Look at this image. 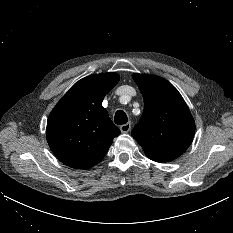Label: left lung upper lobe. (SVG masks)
<instances>
[{
  "label": "left lung upper lobe",
  "instance_id": "1",
  "mask_svg": "<svg viewBox=\"0 0 233 233\" xmlns=\"http://www.w3.org/2000/svg\"><path fill=\"white\" fill-rule=\"evenodd\" d=\"M144 98V111L133 138L154 161H172L192 142L195 122L177 89L164 78L133 74Z\"/></svg>",
  "mask_w": 233,
  "mask_h": 233
}]
</instances>
